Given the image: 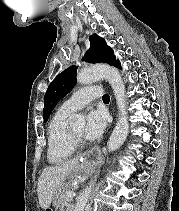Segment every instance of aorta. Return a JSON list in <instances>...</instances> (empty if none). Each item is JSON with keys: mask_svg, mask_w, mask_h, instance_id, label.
Wrapping results in <instances>:
<instances>
[{"mask_svg": "<svg viewBox=\"0 0 179 211\" xmlns=\"http://www.w3.org/2000/svg\"><path fill=\"white\" fill-rule=\"evenodd\" d=\"M100 79H106L110 83L119 110L118 121L108 141V150L115 151L124 143L129 131L128 115L126 111L125 86L122 81L121 74L117 69L109 65L99 64L85 68L77 75V82L80 84H91ZM73 121L76 124L83 125L84 117L81 114H77L73 117ZM93 186L94 181H91L89 186L86 187L84 192L77 200L74 211H84Z\"/></svg>", "mask_w": 179, "mask_h": 211, "instance_id": "obj_1", "label": "aorta"}]
</instances>
